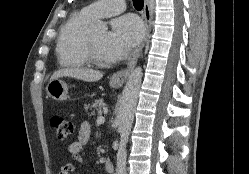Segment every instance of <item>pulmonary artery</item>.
I'll list each match as a JSON object with an SVG mask.
<instances>
[{
	"instance_id": "obj_1",
	"label": "pulmonary artery",
	"mask_w": 249,
	"mask_h": 174,
	"mask_svg": "<svg viewBox=\"0 0 249 174\" xmlns=\"http://www.w3.org/2000/svg\"><path fill=\"white\" fill-rule=\"evenodd\" d=\"M125 8V0H97L86 6L84 10L92 18H97L119 14Z\"/></svg>"
}]
</instances>
